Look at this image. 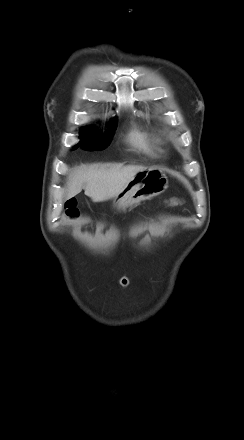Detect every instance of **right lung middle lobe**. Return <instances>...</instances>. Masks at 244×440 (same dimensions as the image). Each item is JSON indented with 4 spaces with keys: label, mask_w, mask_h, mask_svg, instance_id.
Listing matches in <instances>:
<instances>
[{
    "label": "right lung middle lobe",
    "mask_w": 244,
    "mask_h": 440,
    "mask_svg": "<svg viewBox=\"0 0 244 440\" xmlns=\"http://www.w3.org/2000/svg\"><path fill=\"white\" fill-rule=\"evenodd\" d=\"M115 129V124L113 125L112 130ZM113 132H110L107 137L90 139L85 132H82L79 136L81 147L87 150H103L105 149L109 143ZM79 144L75 147L77 148Z\"/></svg>",
    "instance_id": "1"
}]
</instances>
